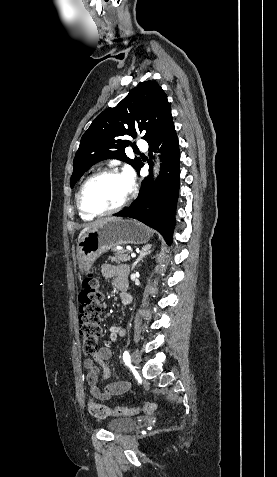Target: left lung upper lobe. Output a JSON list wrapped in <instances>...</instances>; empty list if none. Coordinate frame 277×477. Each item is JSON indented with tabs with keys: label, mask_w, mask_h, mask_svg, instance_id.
<instances>
[{
	"label": "left lung upper lobe",
	"mask_w": 277,
	"mask_h": 477,
	"mask_svg": "<svg viewBox=\"0 0 277 477\" xmlns=\"http://www.w3.org/2000/svg\"><path fill=\"white\" fill-rule=\"evenodd\" d=\"M172 119L167 95L156 81H144L133 88L114 108L99 114L83 134L73 161L71 188L97 162L116 158L127 162L136 171L138 158L129 159L124 151L140 133L147 142Z\"/></svg>",
	"instance_id": "left-lung-upper-lobe-1"
}]
</instances>
